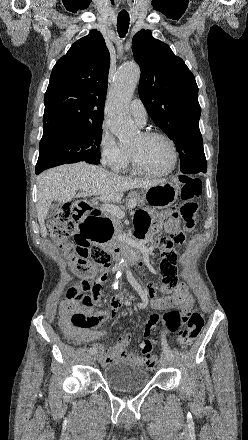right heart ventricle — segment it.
Listing matches in <instances>:
<instances>
[{
	"label": "right heart ventricle",
	"mask_w": 248,
	"mask_h": 440,
	"mask_svg": "<svg viewBox=\"0 0 248 440\" xmlns=\"http://www.w3.org/2000/svg\"><path fill=\"white\" fill-rule=\"evenodd\" d=\"M129 160H130V151H129V157H128V160H127V162L125 163V165L122 167V169H128V166H129Z\"/></svg>",
	"instance_id": "e07e8e85"
}]
</instances>
